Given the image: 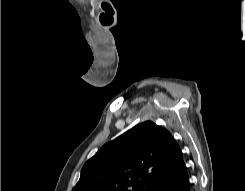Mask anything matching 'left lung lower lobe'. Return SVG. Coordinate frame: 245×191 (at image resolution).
Returning <instances> with one entry per match:
<instances>
[{"instance_id": "left-lung-lower-lobe-1", "label": "left lung lower lobe", "mask_w": 245, "mask_h": 191, "mask_svg": "<svg viewBox=\"0 0 245 191\" xmlns=\"http://www.w3.org/2000/svg\"><path fill=\"white\" fill-rule=\"evenodd\" d=\"M153 191H191L189 175L182 154Z\"/></svg>"}]
</instances>
